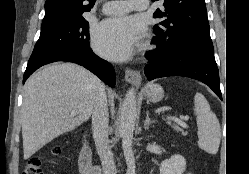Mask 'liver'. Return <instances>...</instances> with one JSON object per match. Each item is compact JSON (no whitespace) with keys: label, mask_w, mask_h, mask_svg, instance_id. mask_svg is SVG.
I'll return each instance as SVG.
<instances>
[{"label":"liver","mask_w":249,"mask_h":174,"mask_svg":"<svg viewBox=\"0 0 249 174\" xmlns=\"http://www.w3.org/2000/svg\"><path fill=\"white\" fill-rule=\"evenodd\" d=\"M101 86L98 77L74 63L52 64L33 74L25 84L21 113L24 159L86 122Z\"/></svg>","instance_id":"liver-1"}]
</instances>
